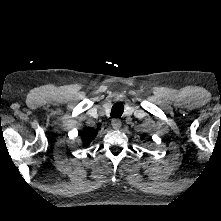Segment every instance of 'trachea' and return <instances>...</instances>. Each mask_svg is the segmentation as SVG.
<instances>
[{
  "label": "trachea",
  "instance_id": "obj_1",
  "mask_svg": "<svg viewBox=\"0 0 221 221\" xmlns=\"http://www.w3.org/2000/svg\"><path fill=\"white\" fill-rule=\"evenodd\" d=\"M124 106L121 102L115 103L111 110V116L114 118H120L123 114Z\"/></svg>",
  "mask_w": 221,
  "mask_h": 221
}]
</instances>
